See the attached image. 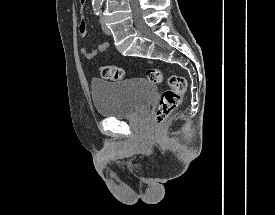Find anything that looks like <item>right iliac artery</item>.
<instances>
[{"label": "right iliac artery", "instance_id": "obj_1", "mask_svg": "<svg viewBox=\"0 0 275 215\" xmlns=\"http://www.w3.org/2000/svg\"><path fill=\"white\" fill-rule=\"evenodd\" d=\"M94 12H95V14L98 16L99 14H100V7H95L94 8Z\"/></svg>", "mask_w": 275, "mask_h": 215}]
</instances>
